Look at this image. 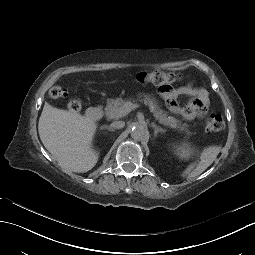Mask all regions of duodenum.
I'll list each match as a JSON object with an SVG mask.
<instances>
[{"instance_id":"obj_1","label":"duodenum","mask_w":255,"mask_h":255,"mask_svg":"<svg viewBox=\"0 0 255 255\" xmlns=\"http://www.w3.org/2000/svg\"><path fill=\"white\" fill-rule=\"evenodd\" d=\"M86 116L93 121L99 120L102 116V109L100 107H91L87 110Z\"/></svg>"}]
</instances>
